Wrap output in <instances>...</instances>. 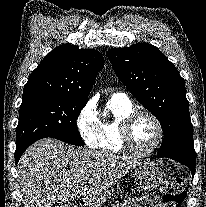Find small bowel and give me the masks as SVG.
<instances>
[{
  "label": "small bowel",
  "instance_id": "small-bowel-1",
  "mask_svg": "<svg viewBox=\"0 0 206 207\" xmlns=\"http://www.w3.org/2000/svg\"><path fill=\"white\" fill-rule=\"evenodd\" d=\"M168 207V205L161 201L158 197L143 196L141 198L132 199L127 203L119 204L117 207Z\"/></svg>",
  "mask_w": 206,
  "mask_h": 207
}]
</instances>
